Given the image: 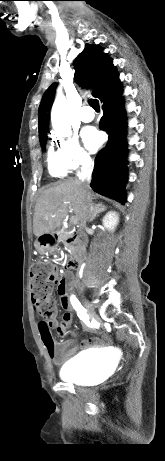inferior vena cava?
I'll return each mask as SVG.
<instances>
[{
  "mask_svg": "<svg viewBox=\"0 0 165 461\" xmlns=\"http://www.w3.org/2000/svg\"><path fill=\"white\" fill-rule=\"evenodd\" d=\"M93 170V161L90 158V156L86 155L83 158L82 161V168L81 171L78 172L77 176L79 177V181L82 183L83 188L85 190L89 189V183L91 180V174ZM87 200L90 201V197L87 196ZM93 215L89 214L88 217L86 218V221H91Z\"/></svg>",
  "mask_w": 165,
  "mask_h": 461,
  "instance_id": "1",
  "label": "inferior vena cava"
}]
</instances>
